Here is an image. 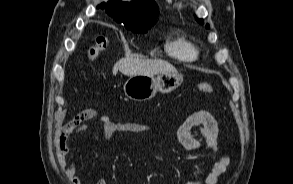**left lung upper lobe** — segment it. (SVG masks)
Here are the masks:
<instances>
[{"label": "left lung upper lobe", "mask_w": 293, "mask_h": 184, "mask_svg": "<svg viewBox=\"0 0 293 184\" xmlns=\"http://www.w3.org/2000/svg\"><path fill=\"white\" fill-rule=\"evenodd\" d=\"M197 21H198L200 24L203 23V20H202V19H198ZM206 28H207V29L209 28V25H208V24L206 25Z\"/></svg>", "instance_id": "5c2ea615"}]
</instances>
